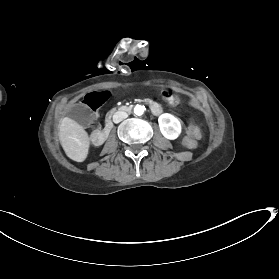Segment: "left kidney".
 Masks as SVG:
<instances>
[{
	"label": "left kidney",
	"instance_id": "1",
	"mask_svg": "<svg viewBox=\"0 0 279 279\" xmlns=\"http://www.w3.org/2000/svg\"><path fill=\"white\" fill-rule=\"evenodd\" d=\"M161 134L169 140L177 139L183 132L180 120L170 113H163L158 118Z\"/></svg>",
	"mask_w": 279,
	"mask_h": 279
}]
</instances>
